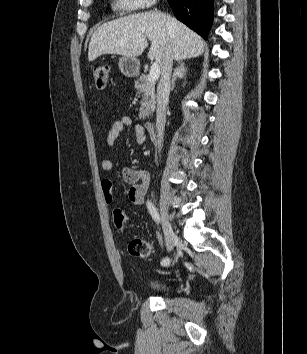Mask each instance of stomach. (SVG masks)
I'll list each match as a JSON object with an SVG mask.
<instances>
[{
  "mask_svg": "<svg viewBox=\"0 0 307 354\" xmlns=\"http://www.w3.org/2000/svg\"><path fill=\"white\" fill-rule=\"evenodd\" d=\"M118 66L120 71L128 77H134L139 74L140 62L135 57L123 56L119 59Z\"/></svg>",
  "mask_w": 307,
  "mask_h": 354,
  "instance_id": "0dacf381",
  "label": "stomach"
}]
</instances>
